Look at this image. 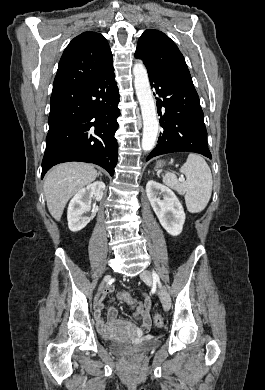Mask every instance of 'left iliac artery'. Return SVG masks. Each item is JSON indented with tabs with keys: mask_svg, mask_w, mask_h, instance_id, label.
<instances>
[{
	"mask_svg": "<svg viewBox=\"0 0 265 390\" xmlns=\"http://www.w3.org/2000/svg\"><path fill=\"white\" fill-rule=\"evenodd\" d=\"M153 279L154 281H157L160 284L159 277L156 273L153 272Z\"/></svg>",
	"mask_w": 265,
	"mask_h": 390,
	"instance_id": "1",
	"label": "left iliac artery"
}]
</instances>
